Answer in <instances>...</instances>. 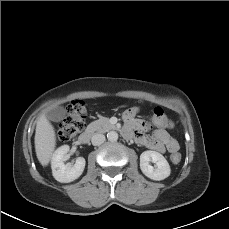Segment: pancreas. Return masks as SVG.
<instances>
[{
	"label": "pancreas",
	"instance_id": "obj_1",
	"mask_svg": "<svg viewBox=\"0 0 229 229\" xmlns=\"http://www.w3.org/2000/svg\"><path fill=\"white\" fill-rule=\"evenodd\" d=\"M115 126L109 122V118L100 117L98 120L90 123L87 127V131L89 132H99L105 133L111 129H114Z\"/></svg>",
	"mask_w": 229,
	"mask_h": 229
}]
</instances>
